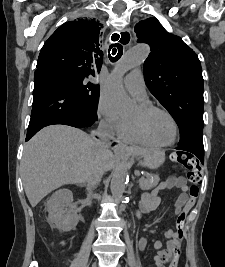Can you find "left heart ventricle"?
Masks as SVG:
<instances>
[{
    "label": "left heart ventricle",
    "mask_w": 225,
    "mask_h": 267,
    "mask_svg": "<svg viewBox=\"0 0 225 267\" xmlns=\"http://www.w3.org/2000/svg\"><path fill=\"white\" fill-rule=\"evenodd\" d=\"M141 116L138 108L133 116V119H138ZM146 127L151 138L157 143H169L174 139L175 128L171 119L161 112L150 114L146 120Z\"/></svg>",
    "instance_id": "1"
}]
</instances>
